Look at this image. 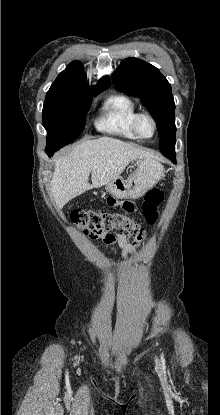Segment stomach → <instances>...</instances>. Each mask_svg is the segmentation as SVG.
<instances>
[{"mask_svg": "<svg viewBox=\"0 0 220 415\" xmlns=\"http://www.w3.org/2000/svg\"><path fill=\"white\" fill-rule=\"evenodd\" d=\"M164 175V167L152 158L141 159L137 169L127 179L118 177L108 183L106 191L118 199H136L143 196Z\"/></svg>", "mask_w": 220, "mask_h": 415, "instance_id": "0dacf381", "label": "stomach"}]
</instances>
